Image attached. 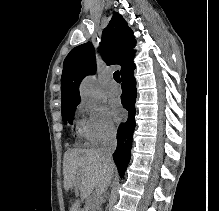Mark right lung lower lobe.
I'll list each match as a JSON object with an SVG mask.
<instances>
[{"label":"right lung lower lobe","mask_w":219,"mask_h":211,"mask_svg":"<svg viewBox=\"0 0 219 211\" xmlns=\"http://www.w3.org/2000/svg\"><path fill=\"white\" fill-rule=\"evenodd\" d=\"M135 64L129 66L121 74L122 95L121 101L124 108L128 110L129 117L125 123L120 124L117 132V149L113 153L120 177L124 176L130 161V150L132 146V136L135 128V101H136V80L133 76Z\"/></svg>","instance_id":"1"}]
</instances>
